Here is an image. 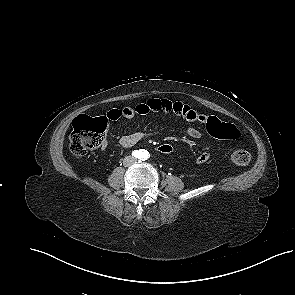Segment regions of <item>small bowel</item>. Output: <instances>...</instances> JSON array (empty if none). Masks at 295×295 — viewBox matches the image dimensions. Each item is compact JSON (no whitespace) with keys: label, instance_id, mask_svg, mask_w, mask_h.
Wrapping results in <instances>:
<instances>
[{"label":"small bowel","instance_id":"1","mask_svg":"<svg viewBox=\"0 0 295 295\" xmlns=\"http://www.w3.org/2000/svg\"><path fill=\"white\" fill-rule=\"evenodd\" d=\"M149 112H166L174 113L177 116L182 117L188 122H198L201 124L208 125L211 120H217L221 122L218 118L214 116L205 115L198 113L191 106L180 102L171 101L165 98H149L144 102L138 103L135 106H127L118 109H111L106 114V119L109 121H117L121 118L131 119L136 115H145ZM187 134L189 137L197 139L201 136V131L195 126L190 125L187 128ZM143 138L142 132H135L129 135L122 136L119 140V145L122 148H130L136 145ZM107 147V143H102V149ZM210 159V154L203 152L199 154L196 158L198 164H204Z\"/></svg>","mask_w":295,"mask_h":295}]
</instances>
